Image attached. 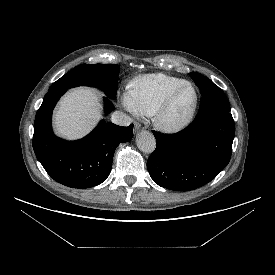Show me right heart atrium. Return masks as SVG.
Segmentation results:
<instances>
[{"instance_id": "1", "label": "right heart atrium", "mask_w": 275, "mask_h": 275, "mask_svg": "<svg viewBox=\"0 0 275 275\" xmlns=\"http://www.w3.org/2000/svg\"><path fill=\"white\" fill-rule=\"evenodd\" d=\"M121 101L123 107L130 113L134 115H138L140 113L135 105L132 89H129L126 93L123 94Z\"/></svg>"}]
</instances>
